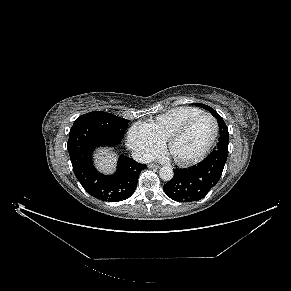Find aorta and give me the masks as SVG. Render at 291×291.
<instances>
[{"label": "aorta", "mask_w": 291, "mask_h": 291, "mask_svg": "<svg viewBox=\"0 0 291 291\" xmlns=\"http://www.w3.org/2000/svg\"><path fill=\"white\" fill-rule=\"evenodd\" d=\"M173 170L168 166H164L159 170V176L164 181H170L173 178Z\"/></svg>", "instance_id": "762f6f07"}]
</instances>
